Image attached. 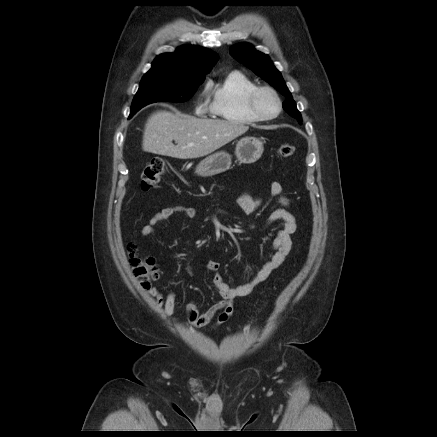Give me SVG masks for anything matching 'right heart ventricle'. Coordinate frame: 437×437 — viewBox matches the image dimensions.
I'll return each instance as SVG.
<instances>
[{
  "label": "right heart ventricle",
  "mask_w": 437,
  "mask_h": 437,
  "mask_svg": "<svg viewBox=\"0 0 437 437\" xmlns=\"http://www.w3.org/2000/svg\"><path fill=\"white\" fill-rule=\"evenodd\" d=\"M256 83L240 71H232L208 85L211 96V111L220 118L234 124H252L254 118L247 107L249 93Z\"/></svg>",
  "instance_id": "obj_1"
}]
</instances>
